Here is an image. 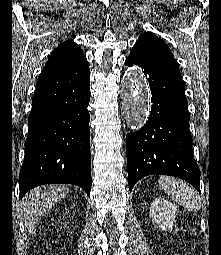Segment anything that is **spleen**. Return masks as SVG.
<instances>
[{"label":"spleen","mask_w":221,"mask_h":255,"mask_svg":"<svg viewBox=\"0 0 221 255\" xmlns=\"http://www.w3.org/2000/svg\"><path fill=\"white\" fill-rule=\"evenodd\" d=\"M159 187L188 211L196 212L201 204L197 192L188 184L174 177L161 176Z\"/></svg>","instance_id":"3e777b00"}]
</instances>
